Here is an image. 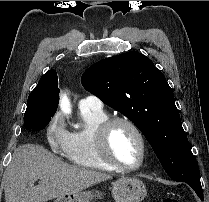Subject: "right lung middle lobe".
I'll return each instance as SVG.
<instances>
[{
    "instance_id": "dd1d6c3e",
    "label": "right lung middle lobe",
    "mask_w": 209,
    "mask_h": 202,
    "mask_svg": "<svg viewBox=\"0 0 209 202\" xmlns=\"http://www.w3.org/2000/svg\"><path fill=\"white\" fill-rule=\"evenodd\" d=\"M56 89L51 85L36 86L29 94L24 124L27 130L44 129L55 114Z\"/></svg>"
}]
</instances>
